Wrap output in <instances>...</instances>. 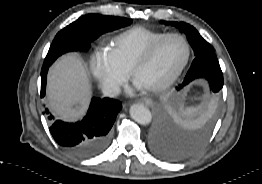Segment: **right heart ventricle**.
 Wrapping results in <instances>:
<instances>
[{"mask_svg": "<svg viewBox=\"0 0 262 184\" xmlns=\"http://www.w3.org/2000/svg\"><path fill=\"white\" fill-rule=\"evenodd\" d=\"M163 34L144 27H132L113 38L109 51L119 65L130 72L141 53Z\"/></svg>", "mask_w": 262, "mask_h": 184, "instance_id": "right-heart-ventricle-1", "label": "right heart ventricle"}]
</instances>
